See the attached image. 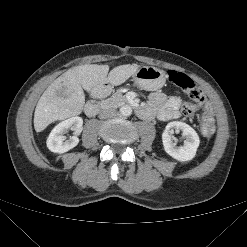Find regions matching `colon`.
<instances>
[{
    "label": "colon",
    "mask_w": 247,
    "mask_h": 247,
    "mask_svg": "<svg viewBox=\"0 0 247 247\" xmlns=\"http://www.w3.org/2000/svg\"><path fill=\"white\" fill-rule=\"evenodd\" d=\"M168 79L172 84L186 92L194 101V103H186L182 106L183 114L187 117L192 116L205 103L206 98L203 90L189 76L182 72L169 70ZM200 130L206 138H211L215 133L214 110L209 103L203 105Z\"/></svg>",
    "instance_id": "1"
}]
</instances>
